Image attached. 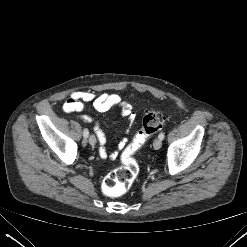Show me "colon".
<instances>
[{"label": "colon", "instance_id": "obj_1", "mask_svg": "<svg viewBox=\"0 0 247 247\" xmlns=\"http://www.w3.org/2000/svg\"><path fill=\"white\" fill-rule=\"evenodd\" d=\"M163 123L164 117L160 112L156 110L147 112L142 120L141 128L121 156L122 165L104 178L103 190L105 194L119 196L131 186L138 174V164L134 159L135 152L146 142L149 136L162 128Z\"/></svg>", "mask_w": 247, "mask_h": 247}]
</instances>
